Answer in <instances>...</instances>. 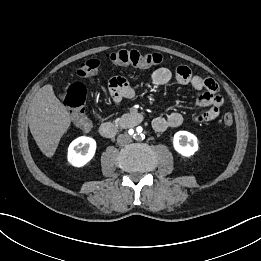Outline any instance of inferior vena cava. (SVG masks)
<instances>
[{
    "label": "inferior vena cava",
    "instance_id": "obj_1",
    "mask_svg": "<svg viewBox=\"0 0 261 261\" xmlns=\"http://www.w3.org/2000/svg\"><path fill=\"white\" fill-rule=\"evenodd\" d=\"M131 142V137L128 134H120L117 137V143L119 145H125L127 143Z\"/></svg>",
    "mask_w": 261,
    "mask_h": 261
}]
</instances>
